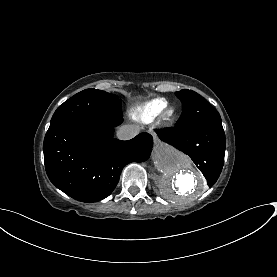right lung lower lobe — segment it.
<instances>
[{"instance_id":"98d812e1","label":"right lung lower lobe","mask_w":277,"mask_h":277,"mask_svg":"<svg viewBox=\"0 0 277 277\" xmlns=\"http://www.w3.org/2000/svg\"><path fill=\"white\" fill-rule=\"evenodd\" d=\"M122 115L76 119L48 130L43 143L50 181L70 197L96 202L115 189L122 169L146 161L152 138L141 133L129 141L113 137Z\"/></svg>"}]
</instances>
